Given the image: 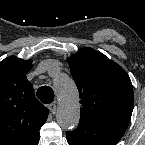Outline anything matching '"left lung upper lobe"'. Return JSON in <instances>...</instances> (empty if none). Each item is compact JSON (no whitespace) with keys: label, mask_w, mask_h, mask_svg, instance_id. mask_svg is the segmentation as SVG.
I'll list each match as a JSON object with an SVG mask.
<instances>
[{"label":"left lung upper lobe","mask_w":145,"mask_h":145,"mask_svg":"<svg viewBox=\"0 0 145 145\" xmlns=\"http://www.w3.org/2000/svg\"><path fill=\"white\" fill-rule=\"evenodd\" d=\"M67 61L81 99L80 122L128 124L134 94L124 69L89 47L70 56Z\"/></svg>","instance_id":"obj_1"}]
</instances>
